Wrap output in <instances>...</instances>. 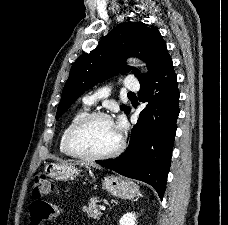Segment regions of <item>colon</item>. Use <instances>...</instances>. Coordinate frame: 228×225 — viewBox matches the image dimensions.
<instances>
[{"mask_svg":"<svg viewBox=\"0 0 228 225\" xmlns=\"http://www.w3.org/2000/svg\"><path fill=\"white\" fill-rule=\"evenodd\" d=\"M52 190L53 183L45 175L36 176L32 189V196L35 200H42Z\"/></svg>","mask_w":228,"mask_h":225,"instance_id":"colon-1","label":"colon"}]
</instances>
